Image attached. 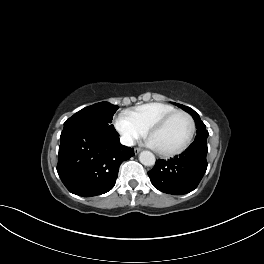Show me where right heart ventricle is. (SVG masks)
<instances>
[{"instance_id": "1", "label": "right heart ventricle", "mask_w": 264, "mask_h": 264, "mask_svg": "<svg viewBox=\"0 0 264 264\" xmlns=\"http://www.w3.org/2000/svg\"><path fill=\"white\" fill-rule=\"evenodd\" d=\"M176 110L174 106L168 103L151 102L128 110L127 113L139 128L148 132L161 118Z\"/></svg>"}]
</instances>
